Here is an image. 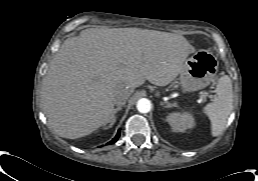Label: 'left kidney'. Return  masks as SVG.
<instances>
[{
    "label": "left kidney",
    "instance_id": "left-kidney-1",
    "mask_svg": "<svg viewBox=\"0 0 258 181\" xmlns=\"http://www.w3.org/2000/svg\"><path fill=\"white\" fill-rule=\"evenodd\" d=\"M166 122L171 126L174 132H185L195 126L194 118L187 112H173L166 116Z\"/></svg>",
    "mask_w": 258,
    "mask_h": 181
}]
</instances>
